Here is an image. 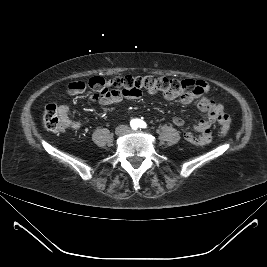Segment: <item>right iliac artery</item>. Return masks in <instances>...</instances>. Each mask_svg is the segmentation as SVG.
<instances>
[{"label": "right iliac artery", "mask_w": 267, "mask_h": 267, "mask_svg": "<svg viewBox=\"0 0 267 267\" xmlns=\"http://www.w3.org/2000/svg\"><path fill=\"white\" fill-rule=\"evenodd\" d=\"M131 127H132V129H134V130L138 128V125H137L136 121H132V122H131Z\"/></svg>", "instance_id": "right-iliac-artery-1"}]
</instances>
